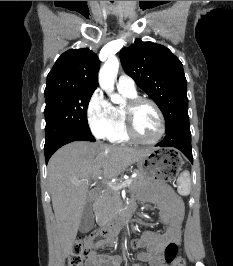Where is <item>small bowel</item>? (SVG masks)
Wrapping results in <instances>:
<instances>
[{
  "label": "small bowel",
  "mask_w": 233,
  "mask_h": 266,
  "mask_svg": "<svg viewBox=\"0 0 233 266\" xmlns=\"http://www.w3.org/2000/svg\"><path fill=\"white\" fill-rule=\"evenodd\" d=\"M157 206L158 213L166 228L162 233L144 231L141 237L132 242L133 249H143L133 266L148 262L150 266H167L163 260V251L169 244H178L181 240L183 221V204L180 198L167 186H161L157 192L149 196ZM115 241L102 239L93 240L87 255L85 266H121L118 255L99 254L97 250L112 247Z\"/></svg>",
  "instance_id": "c3829d8e"
}]
</instances>
